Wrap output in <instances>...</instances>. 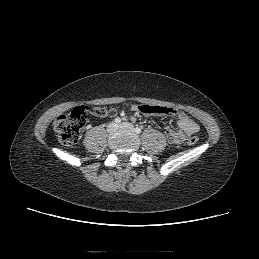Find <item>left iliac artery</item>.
Returning <instances> with one entry per match:
<instances>
[{"label":"left iliac artery","mask_w":259,"mask_h":259,"mask_svg":"<svg viewBox=\"0 0 259 259\" xmlns=\"http://www.w3.org/2000/svg\"><path fill=\"white\" fill-rule=\"evenodd\" d=\"M141 131H142L141 128H139V127H136V128H135V132H136V133L139 134V133H141Z\"/></svg>","instance_id":"44dca946"}]
</instances>
